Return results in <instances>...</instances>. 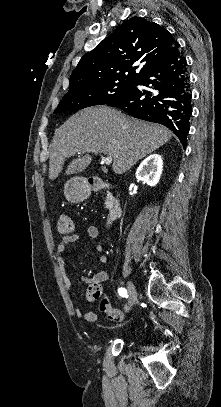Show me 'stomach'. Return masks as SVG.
Segmentation results:
<instances>
[{"instance_id":"stomach-1","label":"stomach","mask_w":221,"mask_h":407,"mask_svg":"<svg viewBox=\"0 0 221 407\" xmlns=\"http://www.w3.org/2000/svg\"><path fill=\"white\" fill-rule=\"evenodd\" d=\"M64 195L68 202L77 204L90 196V189L84 178L74 177L66 182Z\"/></svg>"}]
</instances>
